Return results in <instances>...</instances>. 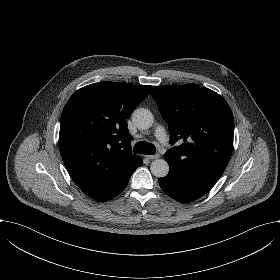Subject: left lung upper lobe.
<instances>
[{
  "mask_svg": "<svg viewBox=\"0 0 280 280\" xmlns=\"http://www.w3.org/2000/svg\"><path fill=\"white\" fill-rule=\"evenodd\" d=\"M151 95L169 125L171 144L181 143L164 155L170 168L219 179L233 150L234 120L226 100L197 84L158 86Z\"/></svg>",
  "mask_w": 280,
  "mask_h": 280,
  "instance_id": "obj_1",
  "label": "left lung upper lobe"
}]
</instances>
